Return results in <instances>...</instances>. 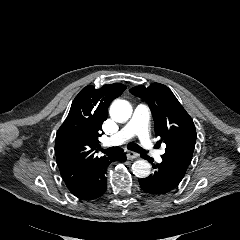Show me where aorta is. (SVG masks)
Masks as SVG:
<instances>
[{
    "mask_svg": "<svg viewBox=\"0 0 240 240\" xmlns=\"http://www.w3.org/2000/svg\"><path fill=\"white\" fill-rule=\"evenodd\" d=\"M132 111V106L126 100H115L110 106V116L117 122L127 121ZM132 172L137 177H147L151 173V165L147 160L139 159L133 163Z\"/></svg>",
    "mask_w": 240,
    "mask_h": 240,
    "instance_id": "aorta-1",
    "label": "aorta"
}]
</instances>
